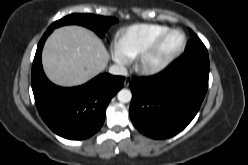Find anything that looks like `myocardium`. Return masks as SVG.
<instances>
[{"mask_svg":"<svg viewBox=\"0 0 248 165\" xmlns=\"http://www.w3.org/2000/svg\"><path fill=\"white\" fill-rule=\"evenodd\" d=\"M179 32L182 36L181 44L172 53L159 61H152L151 56L161 44V42L171 33ZM187 37L183 30L179 28H168L157 35L137 56L136 67L144 74H156L169 67L185 50Z\"/></svg>","mask_w":248,"mask_h":165,"instance_id":"myocardium-1","label":"myocardium"}]
</instances>
